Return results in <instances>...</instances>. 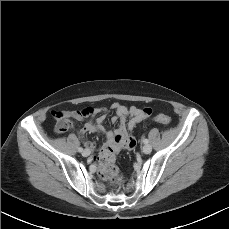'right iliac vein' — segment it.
I'll return each instance as SVG.
<instances>
[{
    "instance_id": "1",
    "label": "right iliac vein",
    "mask_w": 229,
    "mask_h": 229,
    "mask_svg": "<svg viewBox=\"0 0 229 229\" xmlns=\"http://www.w3.org/2000/svg\"><path fill=\"white\" fill-rule=\"evenodd\" d=\"M90 154H91V151L88 150V149H86V150H84V151L82 152V155H83L84 157H87V156H89Z\"/></svg>"
}]
</instances>
